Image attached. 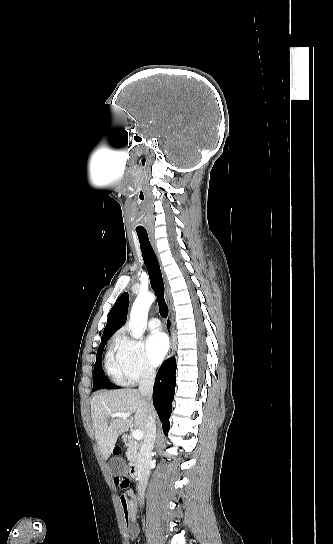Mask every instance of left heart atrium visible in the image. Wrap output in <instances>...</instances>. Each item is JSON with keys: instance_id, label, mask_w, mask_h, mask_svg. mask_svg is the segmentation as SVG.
Here are the masks:
<instances>
[{"instance_id": "left-heart-atrium-1", "label": "left heart atrium", "mask_w": 333, "mask_h": 544, "mask_svg": "<svg viewBox=\"0 0 333 544\" xmlns=\"http://www.w3.org/2000/svg\"><path fill=\"white\" fill-rule=\"evenodd\" d=\"M168 339L163 333L151 334L145 343L146 355L153 366H158L168 351Z\"/></svg>"}]
</instances>
